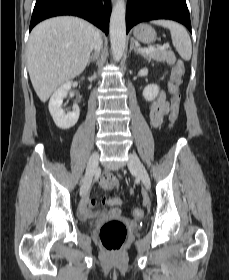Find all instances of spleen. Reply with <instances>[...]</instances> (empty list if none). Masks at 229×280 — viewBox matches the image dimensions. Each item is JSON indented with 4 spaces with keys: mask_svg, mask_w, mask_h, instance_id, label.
Returning <instances> with one entry per match:
<instances>
[{
    "mask_svg": "<svg viewBox=\"0 0 229 280\" xmlns=\"http://www.w3.org/2000/svg\"><path fill=\"white\" fill-rule=\"evenodd\" d=\"M151 23L168 28L170 30L172 43L176 48V51L179 53L182 59L186 61L191 59V55H192L191 39L189 37L188 32L182 25L174 21L164 20V19L154 20Z\"/></svg>",
    "mask_w": 229,
    "mask_h": 280,
    "instance_id": "spleen-1",
    "label": "spleen"
}]
</instances>
